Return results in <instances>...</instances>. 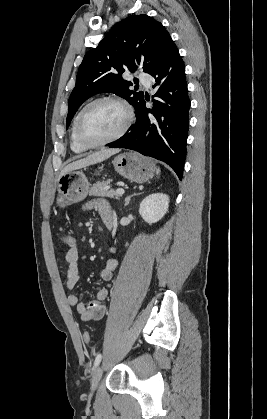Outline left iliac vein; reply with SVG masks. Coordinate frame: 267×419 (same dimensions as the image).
I'll use <instances>...</instances> for the list:
<instances>
[{"label":"left iliac vein","instance_id":"1","mask_svg":"<svg viewBox=\"0 0 267 419\" xmlns=\"http://www.w3.org/2000/svg\"><path fill=\"white\" fill-rule=\"evenodd\" d=\"M102 373H103V366L100 365L95 369L93 373V377L91 380V392H94L97 389Z\"/></svg>","mask_w":267,"mask_h":419}]
</instances>
